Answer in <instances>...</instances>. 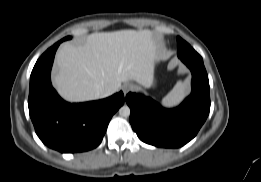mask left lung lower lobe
Returning a JSON list of instances; mask_svg holds the SVG:
<instances>
[{"mask_svg":"<svg viewBox=\"0 0 261 182\" xmlns=\"http://www.w3.org/2000/svg\"><path fill=\"white\" fill-rule=\"evenodd\" d=\"M191 70L192 92L181 105L163 108L149 97L128 93L130 123L143 142L164 148H179L198 133L210 111L209 80L202 58H180Z\"/></svg>","mask_w":261,"mask_h":182,"instance_id":"obj_1","label":"left lung lower lobe"}]
</instances>
